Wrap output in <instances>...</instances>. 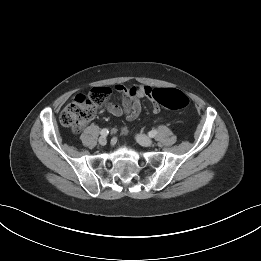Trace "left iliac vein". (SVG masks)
Instances as JSON below:
<instances>
[{
    "mask_svg": "<svg viewBox=\"0 0 261 261\" xmlns=\"http://www.w3.org/2000/svg\"><path fill=\"white\" fill-rule=\"evenodd\" d=\"M136 140L137 142L142 145V146H145V147H149L153 144V141L151 138H149L148 136L146 135H143V134H138L136 136Z\"/></svg>",
    "mask_w": 261,
    "mask_h": 261,
    "instance_id": "obj_1",
    "label": "left iliac vein"
}]
</instances>
